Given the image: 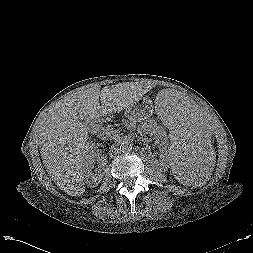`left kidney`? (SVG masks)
Here are the masks:
<instances>
[{
  "instance_id": "left-kidney-1",
  "label": "left kidney",
  "mask_w": 253,
  "mask_h": 253,
  "mask_svg": "<svg viewBox=\"0 0 253 253\" xmlns=\"http://www.w3.org/2000/svg\"><path fill=\"white\" fill-rule=\"evenodd\" d=\"M138 133L142 136H145L146 134H149L150 136H154L162 151L161 158L171 161L168 139L163 127H161L154 121H149V122L142 123L139 126ZM172 165L173 163L170 162V166ZM174 173L179 176L177 172H174Z\"/></svg>"
}]
</instances>
